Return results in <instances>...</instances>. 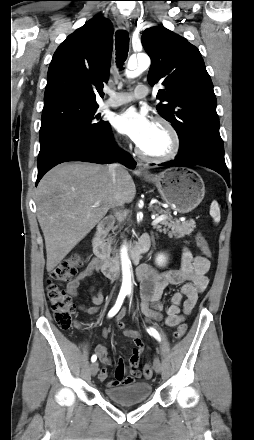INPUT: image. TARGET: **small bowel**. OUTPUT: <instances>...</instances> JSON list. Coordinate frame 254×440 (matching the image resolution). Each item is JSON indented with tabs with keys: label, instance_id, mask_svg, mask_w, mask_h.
<instances>
[{
	"label": "small bowel",
	"instance_id": "small-bowel-1",
	"mask_svg": "<svg viewBox=\"0 0 254 440\" xmlns=\"http://www.w3.org/2000/svg\"><path fill=\"white\" fill-rule=\"evenodd\" d=\"M208 269V259L203 256H194L186 247L182 250L181 264L177 269L159 272L149 266L139 267L137 270V280L140 284V314L146 321L163 320L169 327H174L183 322L186 316L190 314L195 307L199 295L205 291L209 285L206 276ZM99 270V260L93 259L80 274L67 283L66 289L69 296L76 297L82 282L93 277ZM169 285H180L181 287L173 294L170 303L164 305L162 303V295L165 288ZM89 291L91 301L95 306L86 308L84 305L78 304L77 308L88 314H96L99 311V306L104 301V296L102 291L95 286H92ZM124 315V311L119 314L117 326L123 330L124 335L133 343L131 356L129 358L131 376L125 378V365L123 360L120 359L115 369L114 379L107 382L108 388L133 383L134 379L141 375L140 359L144 349V343L137 332L125 327V324L121 321ZM103 335L105 337L108 335L106 328L103 329ZM95 351L103 365L99 377L101 380H105L108 374L107 366L111 364V359L103 344H98Z\"/></svg>",
	"mask_w": 254,
	"mask_h": 440
}]
</instances>
